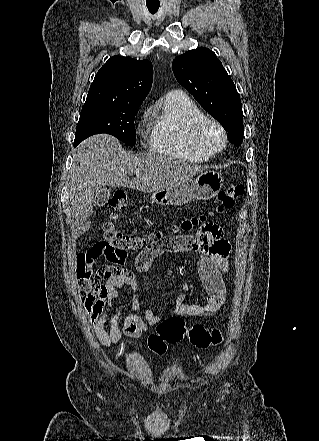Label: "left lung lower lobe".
<instances>
[{
  "mask_svg": "<svg viewBox=\"0 0 319 441\" xmlns=\"http://www.w3.org/2000/svg\"><path fill=\"white\" fill-rule=\"evenodd\" d=\"M229 141H230L232 144L236 145L235 138H230Z\"/></svg>",
  "mask_w": 319,
  "mask_h": 441,
  "instance_id": "1",
  "label": "left lung lower lobe"
}]
</instances>
